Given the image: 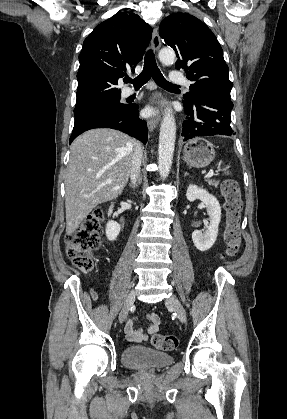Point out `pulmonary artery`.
Wrapping results in <instances>:
<instances>
[{
  "label": "pulmonary artery",
  "instance_id": "obj_1",
  "mask_svg": "<svg viewBox=\"0 0 287 419\" xmlns=\"http://www.w3.org/2000/svg\"><path fill=\"white\" fill-rule=\"evenodd\" d=\"M169 80H170L171 83L176 84V85L183 84V85L189 86V84H190V82L186 79V77L181 72H179V71H173V72H171V74L169 76ZM135 93H137V92L134 91L131 88H126L123 91V95L125 97L132 96Z\"/></svg>",
  "mask_w": 287,
  "mask_h": 419
}]
</instances>
